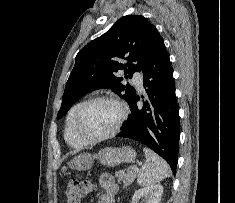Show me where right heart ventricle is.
Here are the masks:
<instances>
[{
  "instance_id": "obj_1",
  "label": "right heart ventricle",
  "mask_w": 235,
  "mask_h": 203,
  "mask_svg": "<svg viewBox=\"0 0 235 203\" xmlns=\"http://www.w3.org/2000/svg\"><path fill=\"white\" fill-rule=\"evenodd\" d=\"M83 102L84 101H80V102H77L75 105H73L71 109L69 110L67 117H66L64 138L67 144L73 148H82L87 144L75 134L74 129H73V122H74L75 114Z\"/></svg>"
}]
</instances>
